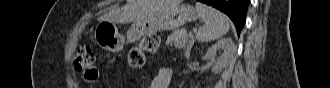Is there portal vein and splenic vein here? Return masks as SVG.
I'll return each mask as SVG.
<instances>
[{
  "instance_id": "obj_1",
  "label": "portal vein and splenic vein",
  "mask_w": 330,
  "mask_h": 88,
  "mask_svg": "<svg viewBox=\"0 0 330 88\" xmlns=\"http://www.w3.org/2000/svg\"><path fill=\"white\" fill-rule=\"evenodd\" d=\"M189 37L190 38H193V33H189Z\"/></svg>"
}]
</instances>
